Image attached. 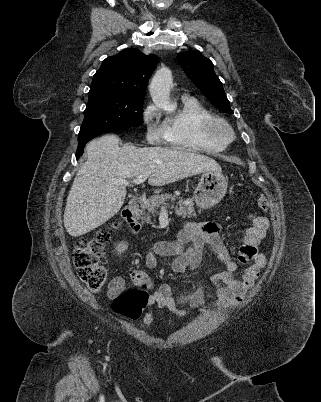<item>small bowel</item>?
I'll use <instances>...</instances> for the list:
<instances>
[{"label":"small bowel","instance_id":"1","mask_svg":"<svg viewBox=\"0 0 321 402\" xmlns=\"http://www.w3.org/2000/svg\"><path fill=\"white\" fill-rule=\"evenodd\" d=\"M269 227L270 221L267 217L251 216L250 226L241 234L242 245L238 253V261H236L221 239L220 224L188 222L185 228L176 234L175 240L155 243L145 255V265L148 268H155L158 264V257L173 256L172 270L175 273L183 274L187 269H198L204 256L208 253L213 254L225 265L227 270L212 276L217 286L215 305L220 309H228L243 301L246 292L266 266V257L260 251L259 246ZM185 244L190 245L187 251L183 250ZM238 262L247 264L240 277H237ZM130 276L134 282L141 284L151 292L147 311L143 316V323L146 327H150L153 323L152 308L154 306L166 308L179 317L190 314V309H183V305H188L191 309H201L204 306L205 293L201 287L176 296L168 284H160L155 287L141 269H133ZM125 287V279L115 276L109 284L108 296L112 299L117 297Z\"/></svg>","mask_w":321,"mask_h":402}]
</instances>
